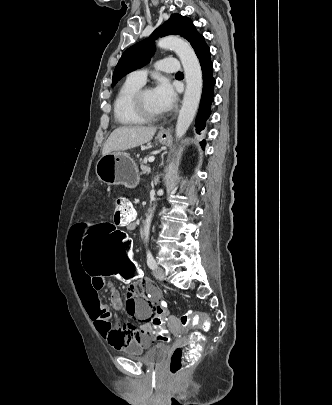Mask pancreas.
Segmentation results:
<instances>
[{"instance_id": "cf45deb5", "label": "pancreas", "mask_w": 332, "mask_h": 405, "mask_svg": "<svg viewBox=\"0 0 332 405\" xmlns=\"http://www.w3.org/2000/svg\"><path fill=\"white\" fill-rule=\"evenodd\" d=\"M141 174L146 175L150 173V167L147 166L144 162L140 163Z\"/></svg>"}]
</instances>
